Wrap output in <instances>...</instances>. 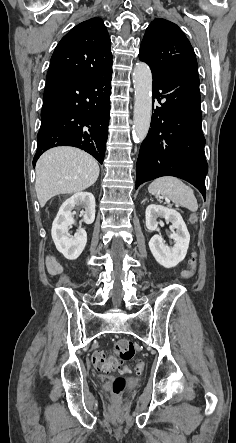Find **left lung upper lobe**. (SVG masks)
Returning a JSON list of instances; mask_svg holds the SVG:
<instances>
[{
	"mask_svg": "<svg viewBox=\"0 0 236 443\" xmlns=\"http://www.w3.org/2000/svg\"><path fill=\"white\" fill-rule=\"evenodd\" d=\"M139 59L152 72L168 70L198 73L194 50L183 31L165 19H155L146 29L141 42Z\"/></svg>",
	"mask_w": 236,
	"mask_h": 443,
	"instance_id": "obj_1",
	"label": "left lung upper lobe"
}]
</instances>
